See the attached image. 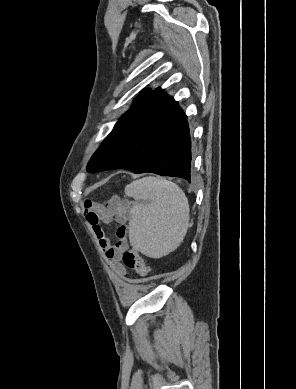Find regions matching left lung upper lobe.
<instances>
[{
	"label": "left lung upper lobe",
	"mask_w": 296,
	"mask_h": 389,
	"mask_svg": "<svg viewBox=\"0 0 296 389\" xmlns=\"http://www.w3.org/2000/svg\"><path fill=\"white\" fill-rule=\"evenodd\" d=\"M152 92H154V91H152ZM152 92L144 91L140 96H138L136 98V100L134 101V103H133L131 108H133L135 105H137L142 100H144L146 97H148ZM98 166H99V163H98L97 159L95 158V155H93L91 160L88 163L87 171L91 172V173H95V172H97Z\"/></svg>",
	"instance_id": "obj_1"
}]
</instances>
